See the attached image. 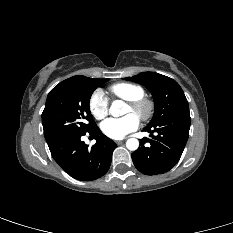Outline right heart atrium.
<instances>
[{
  "label": "right heart atrium",
  "mask_w": 233,
  "mask_h": 233,
  "mask_svg": "<svg viewBox=\"0 0 233 233\" xmlns=\"http://www.w3.org/2000/svg\"><path fill=\"white\" fill-rule=\"evenodd\" d=\"M89 110L95 119L101 120L109 113V102L100 90L92 93L89 99Z\"/></svg>",
  "instance_id": "obj_1"
}]
</instances>
